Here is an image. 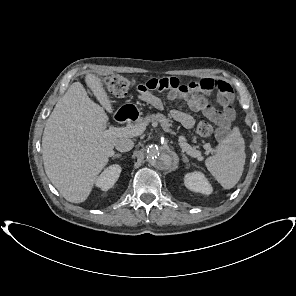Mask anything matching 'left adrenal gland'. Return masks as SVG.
I'll list each match as a JSON object with an SVG mask.
<instances>
[{
    "instance_id": "1",
    "label": "left adrenal gland",
    "mask_w": 296,
    "mask_h": 296,
    "mask_svg": "<svg viewBox=\"0 0 296 296\" xmlns=\"http://www.w3.org/2000/svg\"><path fill=\"white\" fill-rule=\"evenodd\" d=\"M182 157H183V161H184V162H188V159H187V157H186L185 154H182Z\"/></svg>"
}]
</instances>
